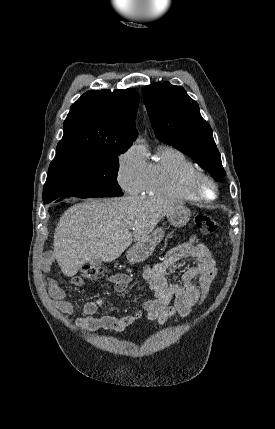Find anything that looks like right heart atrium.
Wrapping results in <instances>:
<instances>
[{"label": "right heart atrium", "instance_id": "d8ad5b80", "mask_svg": "<svg viewBox=\"0 0 275 429\" xmlns=\"http://www.w3.org/2000/svg\"><path fill=\"white\" fill-rule=\"evenodd\" d=\"M116 176L119 185L127 193L138 194L144 190L147 163L139 149L130 147L119 154Z\"/></svg>", "mask_w": 275, "mask_h": 429}]
</instances>
